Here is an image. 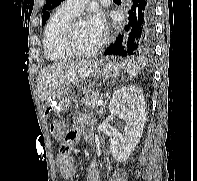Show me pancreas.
<instances>
[{
	"label": "pancreas",
	"mask_w": 197,
	"mask_h": 181,
	"mask_svg": "<svg viewBox=\"0 0 197 181\" xmlns=\"http://www.w3.org/2000/svg\"><path fill=\"white\" fill-rule=\"evenodd\" d=\"M103 98L102 94L99 92H94L91 95H85L81 100V105L83 107L95 108L97 101Z\"/></svg>",
	"instance_id": "1"
}]
</instances>
